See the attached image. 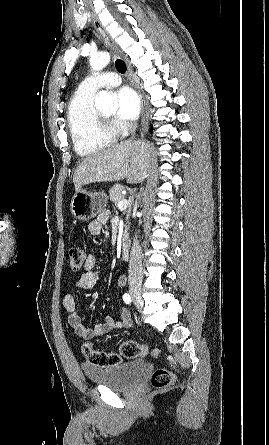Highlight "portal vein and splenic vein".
<instances>
[{"instance_id": "18ae733b", "label": "portal vein and splenic vein", "mask_w": 269, "mask_h": 445, "mask_svg": "<svg viewBox=\"0 0 269 445\" xmlns=\"http://www.w3.org/2000/svg\"><path fill=\"white\" fill-rule=\"evenodd\" d=\"M129 203H130V200H126V199L121 200L117 205L118 209H121V210L126 209L127 206L129 205Z\"/></svg>"}]
</instances>
